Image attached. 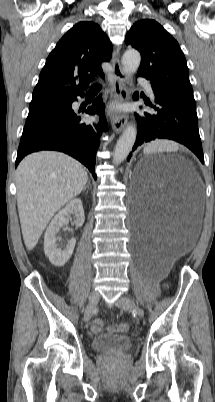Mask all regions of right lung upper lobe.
<instances>
[{
	"label": "right lung upper lobe",
	"mask_w": 215,
	"mask_h": 402,
	"mask_svg": "<svg viewBox=\"0 0 215 402\" xmlns=\"http://www.w3.org/2000/svg\"><path fill=\"white\" fill-rule=\"evenodd\" d=\"M111 51L112 44L98 24L77 23L48 56L33 90L32 101L70 100L83 94L91 77L103 76L100 63L110 60Z\"/></svg>",
	"instance_id": "cb5924a9"
}]
</instances>
